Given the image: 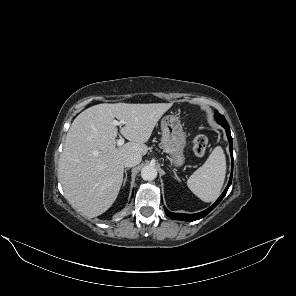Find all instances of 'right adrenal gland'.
Listing matches in <instances>:
<instances>
[{"label": "right adrenal gland", "instance_id": "1", "mask_svg": "<svg viewBox=\"0 0 296 296\" xmlns=\"http://www.w3.org/2000/svg\"><path fill=\"white\" fill-rule=\"evenodd\" d=\"M129 170V168H126L125 169V178H124V182H123V186H125V184H126V180H127V171Z\"/></svg>", "mask_w": 296, "mask_h": 296}]
</instances>
